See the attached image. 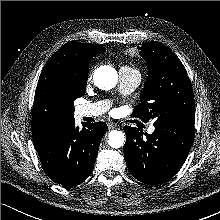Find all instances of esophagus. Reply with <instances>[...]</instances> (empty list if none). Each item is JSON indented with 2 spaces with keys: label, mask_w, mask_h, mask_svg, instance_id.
I'll list each match as a JSON object with an SVG mask.
<instances>
[{
  "label": "esophagus",
  "mask_w": 220,
  "mask_h": 220,
  "mask_svg": "<svg viewBox=\"0 0 220 220\" xmlns=\"http://www.w3.org/2000/svg\"><path fill=\"white\" fill-rule=\"evenodd\" d=\"M117 127H118V125L116 123H108V128L109 129H115Z\"/></svg>",
  "instance_id": "obj_1"
}]
</instances>
